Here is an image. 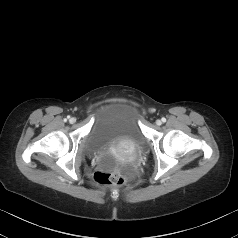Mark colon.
Listing matches in <instances>:
<instances>
[{"label":"colon","mask_w":238,"mask_h":238,"mask_svg":"<svg viewBox=\"0 0 238 238\" xmlns=\"http://www.w3.org/2000/svg\"><path fill=\"white\" fill-rule=\"evenodd\" d=\"M93 178L98 185L102 186H120L127 179L125 172L120 168L98 169Z\"/></svg>","instance_id":"colon-1"}]
</instances>
